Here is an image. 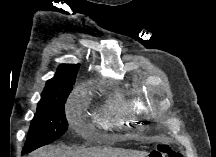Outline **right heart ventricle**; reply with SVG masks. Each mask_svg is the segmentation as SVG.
Returning <instances> with one entry per match:
<instances>
[{"instance_id":"1","label":"right heart ventricle","mask_w":216,"mask_h":157,"mask_svg":"<svg viewBox=\"0 0 216 157\" xmlns=\"http://www.w3.org/2000/svg\"><path fill=\"white\" fill-rule=\"evenodd\" d=\"M141 112L142 103L135 92L117 91L106 98L95 123L104 130L124 131L139 120Z\"/></svg>"}]
</instances>
